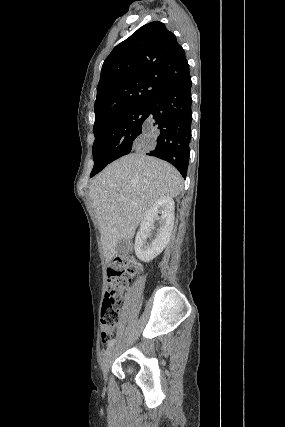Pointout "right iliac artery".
<instances>
[{"instance_id": "right-iliac-artery-1", "label": "right iliac artery", "mask_w": 285, "mask_h": 427, "mask_svg": "<svg viewBox=\"0 0 285 427\" xmlns=\"http://www.w3.org/2000/svg\"><path fill=\"white\" fill-rule=\"evenodd\" d=\"M114 342H115V339H111L107 344V349H109L111 346H113Z\"/></svg>"}]
</instances>
